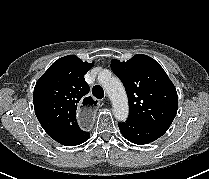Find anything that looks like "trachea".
Listing matches in <instances>:
<instances>
[{
  "label": "trachea",
  "mask_w": 209,
  "mask_h": 179,
  "mask_svg": "<svg viewBox=\"0 0 209 179\" xmlns=\"http://www.w3.org/2000/svg\"><path fill=\"white\" fill-rule=\"evenodd\" d=\"M92 93L98 99H102L104 97V91L99 85L92 88Z\"/></svg>",
  "instance_id": "3493384b"
}]
</instances>
